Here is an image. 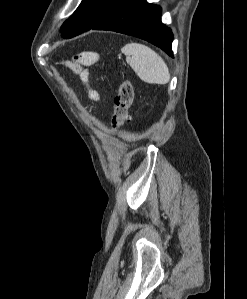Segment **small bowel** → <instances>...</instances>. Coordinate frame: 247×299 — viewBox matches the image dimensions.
Here are the masks:
<instances>
[{"label":"small bowel","instance_id":"1","mask_svg":"<svg viewBox=\"0 0 247 299\" xmlns=\"http://www.w3.org/2000/svg\"><path fill=\"white\" fill-rule=\"evenodd\" d=\"M98 60H99L98 54L91 53V52H84L78 57V59H77L78 64L74 65V68L80 71L81 79L85 84H87V81H88V73L85 70H80V66L81 65H83V66L93 65ZM88 95H89V98L93 101L99 100L98 93L91 88H88Z\"/></svg>","mask_w":247,"mask_h":299}]
</instances>
